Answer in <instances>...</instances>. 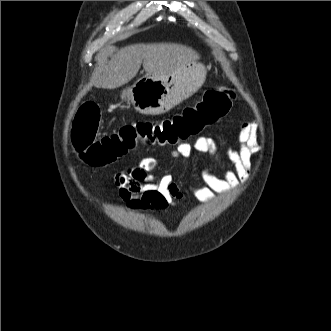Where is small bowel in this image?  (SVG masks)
<instances>
[{
	"label": "small bowel",
	"instance_id": "1",
	"mask_svg": "<svg viewBox=\"0 0 331 331\" xmlns=\"http://www.w3.org/2000/svg\"><path fill=\"white\" fill-rule=\"evenodd\" d=\"M239 147L220 150L217 142L209 137H199L194 144L181 143L171 152L176 159H188L193 149L213 158L226 157L233 170L215 173L206 167L202 170V186H190L192 194L199 200L211 202L217 194H226L247 179L251 169L252 156L258 152L257 123L245 122L240 126ZM157 160L145 157L114 176L119 197L133 211H164L183 199V194L171 175L154 176Z\"/></svg>",
	"mask_w": 331,
	"mask_h": 331
}]
</instances>
